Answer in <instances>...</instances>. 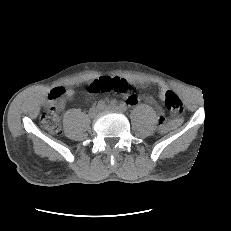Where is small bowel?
Masks as SVG:
<instances>
[{
  "instance_id": "c3829d8e",
  "label": "small bowel",
  "mask_w": 231,
  "mask_h": 231,
  "mask_svg": "<svg viewBox=\"0 0 231 231\" xmlns=\"http://www.w3.org/2000/svg\"><path fill=\"white\" fill-rule=\"evenodd\" d=\"M102 78H103V77H102ZM107 78H108V77H107ZM56 89L61 90V91H62V94H61L58 98L54 99L53 101L56 102V105H57V107H58L59 109H63V108L65 107V105H66L67 100L73 97L74 91L71 90V89L65 90V89H63V88H56ZM54 90H55V89H54ZM167 91H168V89H167V87H166L165 85H162V86L160 87V93H161V96H162V97L165 96V94H166ZM141 100H146V101H148V102H150V103H154V100H153L152 98H150V97H145V96H143V95H141V94L129 93V94H127V96H126V101H127V103L130 104V105H135V104H137V103H138L139 101H141ZM166 127H167V126H166ZM166 127H165V128H166Z\"/></svg>"
}]
</instances>
